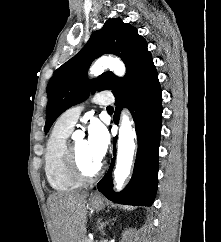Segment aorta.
Returning <instances> with one entry per match:
<instances>
[{
  "mask_svg": "<svg viewBox=\"0 0 221 242\" xmlns=\"http://www.w3.org/2000/svg\"><path fill=\"white\" fill-rule=\"evenodd\" d=\"M110 69L117 76L125 74V65L117 57L104 56L99 58L90 68L89 73L98 76L105 69ZM135 132L132 129V123L129 119L128 112H122V120L119 128L117 161L114 170L115 188L121 190L125 180L130 174L133 163L134 151L136 148L134 142Z\"/></svg>",
  "mask_w": 221,
  "mask_h": 242,
  "instance_id": "762f6f07",
  "label": "aorta"
}]
</instances>
